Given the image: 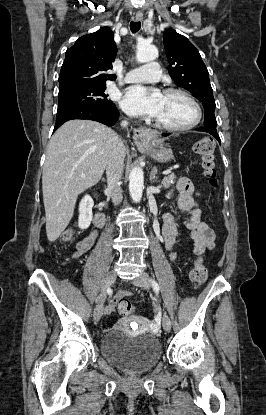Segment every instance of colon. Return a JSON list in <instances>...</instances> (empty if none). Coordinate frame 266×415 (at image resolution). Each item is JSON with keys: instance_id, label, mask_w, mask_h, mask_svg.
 Wrapping results in <instances>:
<instances>
[{"instance_id": "1", "label": "colon", "mask_w": 266, "mask_h": 415, "mask_svg": "<svg viewBox=\"0 0 266 415\" xmlns=\"http://www.w3.org/2000/svg\"><path fill=\"white\" fill-rule=\"evenodd\" d=\"M194 152L200 156L203 175L208 179L210 185H217V168L215 160V142L210 137H204L194 143ZM75 231L73 228L65 230L60 240L62 243H72ZM208 277V269L201 259H196L190 271V280L195 286L203 284ZM118 312L123 316H129L134 312V306L126 298H121L117 302Z\"/></svg>"}]
</instances>
